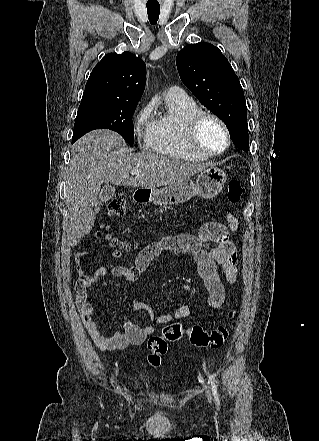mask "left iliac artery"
I'll list each match as a JSON object with an SVG mask.
<instances>
[{"mask_svg": "<svg viewBox=\"0 0 319 441\" xmlns=\"http://www.w3.org/2000/svg\"><path fill=\"white\" fill-rule=\"evenodd\" d=\"M208 378H209L208 383L211 386L215 402H216L217 406H219L220 405V400H219V396H218V392H217V387H216L214 378L211 375H208Z\"/></svg>", "mask_w": 319, "mask_h": 441, "instance_id": "44dca946", "label": "left iliac artery"}]
</instances>
